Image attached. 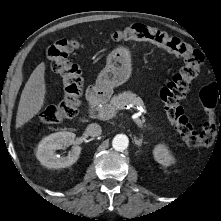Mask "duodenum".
I'll list each match as a JSON object with an SVG mask.
<instances>
[{
	"label": "duodenum",
	"mask_w": 221,
	"mask_h": 221,
	"mask_svg": "<svg viewBox=\"0 0 221 221\" xmlns=\"http://www.w3.org/2000/svg\"><path fill=\"white\" fill-rule=\"evenodd\" d=\"M108 92L102 87H93L87 91V101L90 106H96L106 100Z\"/></svg>",
	"instance_id": "duodenum-1"
}]
</instances>
